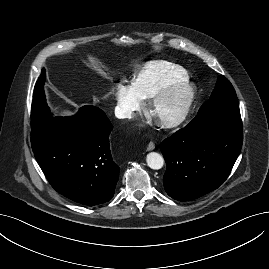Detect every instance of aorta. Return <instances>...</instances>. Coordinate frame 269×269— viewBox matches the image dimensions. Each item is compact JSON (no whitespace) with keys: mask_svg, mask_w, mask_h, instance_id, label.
<instances>
[{"mask_svg":"<svg viewBox=\"0 0 269 269\" xmlns=\"http://www.w3.org/2000/svg\"><path fill=\"white\" fill-rule=\"evenodd\" d=\"M147 165L154 170H159L164 165L163 157L157 152H150L146 157Z\"/></svg>","mask_w":269,"mask_h":269,"instance_id":"aorta-1","label":"aorta"}]
</instances>
